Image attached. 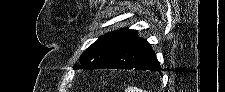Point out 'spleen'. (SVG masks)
<instances>
[{
  "instance_id": "1",
  "label": "spleen",
  "mask_w": 225,
  "mask_h": 92,
  "mask_svg": "<svg viewBox=\"0 0 225 92\" xmlns=\"http://www.w3.org/2000/svg\"><path fill=\"white\" fill-rule=\"evenodd\" d=\"M132 92H142V90L138 89L137 87L130 89Z\"/></svg>"
}]
</instances>
